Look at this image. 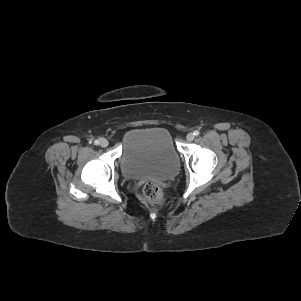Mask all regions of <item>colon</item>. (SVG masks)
Returning <instances> with one entry per match:
<instances>
[{"label":"colon","mask_w":301,"mask_h":301,"mask_svg":"<svg viewBox=\"0 0 301 301\" xmlns=\"http://www.w3.org/2000/svg\"><path fill=\"white\" fill-rule=\"evenodd\" d=\"M143 194L153 204H162L165 200L163 189L157 183L148 181L143 186Z\"/></svg>","instance_id":"obj_1"}]
</instances>
